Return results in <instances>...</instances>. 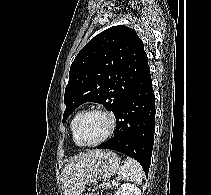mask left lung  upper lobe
Returning a JSON list of instances; mask_svg holds the SVG:
<instances>
[{
  "instance_id": "left-lung-upper-lobe-1",
  "label": "left lung upper lobe",
  "mask_w": 211,
  "mask_h": 195,
  "mask_svg": "<svg viewBox=\"0 0 211 195\" xmlns=\"http://www.w3.org/2000/svg\"><path fill=\"white\" fill-rule=\"evenodd\" d=\"M148 67L143 42L134 29L118 25L96 35L71 64L63 122L86 102L100 103L115 115Z\"/></svg>"
}]
</instances>
